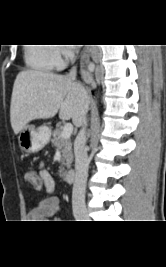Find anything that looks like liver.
Here are the masks:
<instances>
[{
  "mask_svg": "<svg viewBox=\"0 0 166 267\" xmlns=\"http://www.w3.org/2000/svg\"><path fill=\"white\" fill-rule=\"evenodd\" d=\"M89 103L86 90L67 75L21 71L13 85L11 126L18 134L30 121L52 118L58 111L60 119L80 126Z\"/></svg>",
  "mask_w": 166,
  "mask_h": 267,
  "instance_id": "1",
  "label": "liver"
}]
</instances>
